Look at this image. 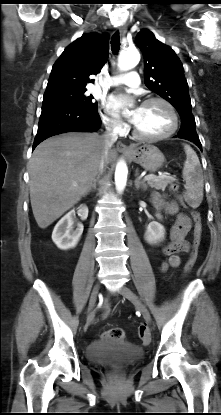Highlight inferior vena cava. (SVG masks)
<instances>
[{
	"mask_svg": "<svg viewBox=\"0 0 221 415\" xmlns=\"http://www.w3.org/2000/svg\"><path fill=\"white\" fill-rule=\"evenodd\" d=\"M118 139V134L115 131V125L114 124H108L106 126V131L104 132V134L101 136V140H102V159L100 161V165H99V177L100 174L103 173L104 167L106 166L107 160V154L109 152V150L111 149L112 145L117 141Z\"/></svg>",
	"mask_w": 221,
	"mask_h": 415,
	"instance_id": "602c4592",
	"label": "inferior vena cava"
}]
</instances>
